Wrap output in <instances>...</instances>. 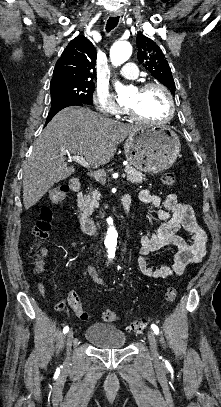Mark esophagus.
I'll return each instance as SVG.
<instances>
[{
    "mask_svg": "<svg viewBox=\"0 0 221 407\" xmlns=\"http://www.w3.org/2000/svg\"><path fill=\"white\" fill-rule=\"evenodd\" d=\"M121 15H122V12H120V11H115L112 13L113 17H120Z\"/></svg>",
    "mask_w": 221,
    "mask_h": 407,
    "instance_id": "obj_1",
    "label": "esophagus"
}]
</instances>
